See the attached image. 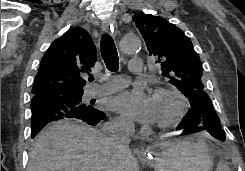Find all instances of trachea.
Wrapping results in <instances>:
<instances>
[{
    "label": "trachea",
    "mask_w": 245,
    "mask_h": 171,
    "mask_svg": "<svg viewBox=\"0 0 245 171\" xmlns=\"http://www.w3.org/2000/svg\"><path fill=\"white\" fill-rule=\"evenodd\" d=\"M100 50L107 69L116 72L119 69V58L114 40L110 35L104 34L102 36ZM93 79V76H90L89 81H93Z\"/></svg>",
    "instance_id": "3493384b"
}]
</instances>
